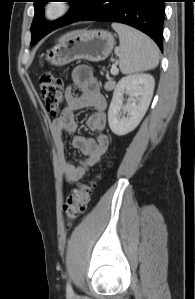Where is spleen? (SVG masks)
I'll list each match as a JSON object with an SVG mask.
<instances>
[{
  "label": "spleen",
  "instance_id": "spleen-1",
  "mask_svg": "<svg viewBox=\"0 0 195 299\" xmlns=\"http://www.w3.org/2000/svg\"><path fill=\"white\" fill-rule=\"evenodd\" d=\"M111 26L119 36V68L123 74L148 71L158 65L159 48L152 39L125 24Z\"/></svg>",
  "mask_w": 195,
  "mask_h": 299
}]
</instances>
